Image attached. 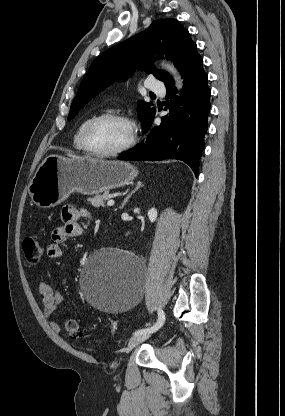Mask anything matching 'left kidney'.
Here are the masks:
<instances>
[{
	"instance_id": "5707ae66",
	"label": "left kidney",
	"mask_w": 285,
	"mask_h": 416,
	"mask_svg": "<svg viewBox=\"0 0 285 416\" xmlns=\"http://www.w3.org/2000/svg\"><path fill=\"white\" fill-rule=\"evenodd\" d=\"M157 216H158L157 210H155V208H151V210H149L148 212V218L150 222H155Z\"/></svg>"
}]
</instances>
